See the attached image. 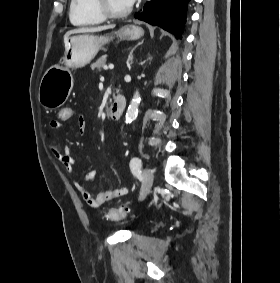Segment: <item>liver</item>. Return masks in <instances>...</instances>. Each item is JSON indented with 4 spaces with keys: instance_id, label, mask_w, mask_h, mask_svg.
<instances>
[{
    "instance_id": "obj_1",
    "label": "liver",
    "mask_w": 280,
    "mask_h": 283,
    "mask_svg": "<svg viewBox=\"0 0 280 283\" xmlns=\"http://www.w3.org/2000/svg\"><path fill=\"white\" fill-rule=\"evenodd\" d=\"M114 27H115V25H104V26H98V27H81V28L70 30V31L66 32V34L64 35L65 46L67 44V41H68L70 35H72V34L95 33V32H101V31H104V30H107V29H113Z\"/></svg>"
}]
</instances>
